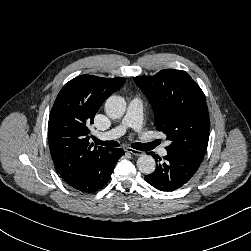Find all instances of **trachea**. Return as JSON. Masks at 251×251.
<instances>
[{
	"label": "trachea",
	"mask_w": 251,
	"mask_h": 251,
	"mask_svg": "<svg viewBox=\"0 0 251 251\" xmlns=\"http://www.w3.org/2000/svg\"><path fill=\"white\" fill-rule=\"evenodd\" d=\"M94 141L97 145H102L106 147H119L120 145L117 141H101L99 139H94ZM159 143V140L153 141L151 143H134L132 147L140 151H149L152 150Z\"/></svg>",
	"instance_id": "obj_1"
}]
</instances>
